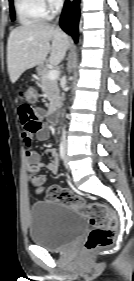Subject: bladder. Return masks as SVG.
Returning a JSON list of instances; mask_svg holds the SVG:
<instances>
[{"mask_svg": "<svg viewBox=\"0 0 134 281\" xmlns=\"http://www.w3.org/2000/svg\"><path fill=\"white\" fill-rule=\"evenodd\" d=\"M88 227L86 217L77 209L52 202L34 203L29 210L31 241L51 251L67 247Z\"/></svg>", "mask_w": 134, "mask_h": 281, "instance_id": "obj_1", "label": "bladder"}]
</instances>
